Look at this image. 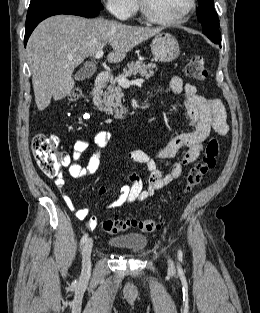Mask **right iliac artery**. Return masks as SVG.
<instances>
[{
    "label": "right iliac artery",
    "mask_w": 260,
    "mask_h": 313,
    "mask_svg": "<svg viewBox=\"0 0 260 313\" xmlns=\"http://www.w3.org/2000/svg\"><path fill=\"white\" fill-rule=\"evenodd\" d=\"M87 238H88V234H84L80 241L81 246L84 245V243L87 241Z\"/></svg>",
    "instance_id": "82829eb1"
}]
</instances>
